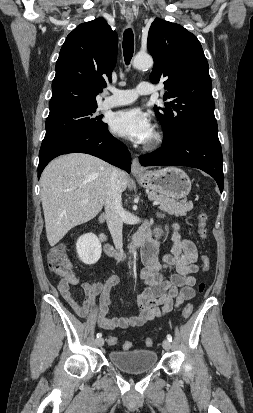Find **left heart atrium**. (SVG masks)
I'll return each mask as SVG.
<instances>
[{"instance_id":"left-heart-atrium-1","label":"left heart atrium","mask_w":253,"mask_h":413,"mask_svg":"<svg viewBox=\"0 0 253 413\" xmlns=\"http://www.w3.org/2000/svg\"><path fill=\"white\" fill-rule=\"evenodd\" d=\"M112 132L137 143H147L154 135L150 116L139 108L116 112L110 123Z\"/></svg>"}]
</instances>
